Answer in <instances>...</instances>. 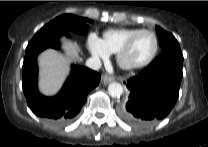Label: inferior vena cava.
<instances>
[{"instance_id": "1", "label": "inferior vena cava", "mask_w": 208, "mask_h": 147, "mask_svg": "<svg viewBox=\"0 0 208 147\" xmlns=\"http://www.w3.org/2000/svg\"><path fill=\"white\" fill-rule=\"evenodd\" d=\"M86 66L93 70H98L101 67V61L97 57H90L86 61Z\"/></svg>"}]
</instances>
